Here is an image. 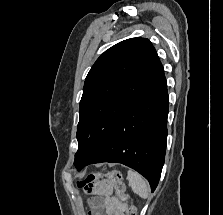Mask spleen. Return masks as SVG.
Returning a JSON list of instances; mask_svg holds the SVG:
<instances>
[{"instance_id":"spleen-1","label":"spleen","mask_w":223,"mask_h":215,"mask_svg":"<svg viewBox=\"0 0 223 215\" xmlns=\"http://www.w3.org/2000/svg\"><path fill=\"white\" fill-rule=\"evenodd\" d=\"M127 179L134 193H138L140 197H148L150 187L147 181H145L137 171H128Z\"/></svg>"}]
</instances>
